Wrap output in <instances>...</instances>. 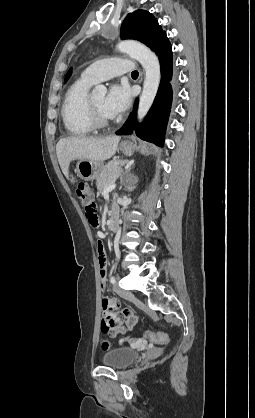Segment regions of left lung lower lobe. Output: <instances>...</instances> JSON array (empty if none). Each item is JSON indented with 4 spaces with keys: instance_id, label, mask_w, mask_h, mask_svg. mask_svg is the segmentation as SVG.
<instances>
[{
    "instance_id": "0a47b994",
    "label": "left lung lower lobe",
    "mask_w": 255,
    "mask_h": 418,
    "mask_svg": "<svg viewBox=\"0 0 255 418\" xmlns=\"http://www.w3.org/2000/svg\"><path fill=\"white\" fill-rule=\"evenodd\" d=\"M155 53L160 62L161 82L154 104L144 122L137 124L136 114L138 101H136L133 112L116 134L129 135L134 129L139 138L153 142L158 146H163L172 102V87L170 82L173 80V53L169 40H166Z\"/></svg>"
}]
</instances>
